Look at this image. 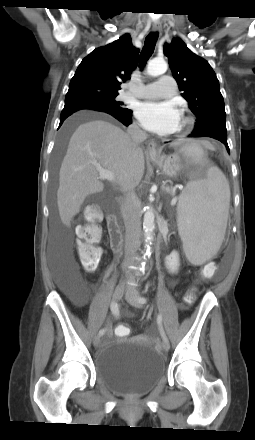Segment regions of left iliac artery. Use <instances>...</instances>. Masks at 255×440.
<instances>
[{
  "mask_svg": "<svg viewBox=\"0 0 255 440\" xmlns=\"http://www.w3.org/2000/svg\"><path fill=\"white\" fill-rule=\"evenodd\" d=\"M138 300L142 304H145L147 302V299L145 297H141V296L139 297ZM157 323H158V326H159V329H160V333H161V336H162L163 340H168L166 335H165V332L163 330V327H162V315L161 314H159L157 316Z\"/></svg>",
  "mask_w": 255,
  "mask_h": 440,
  "instance_id": "1",
  "label": "left iliac artery"
}]
</instances>
